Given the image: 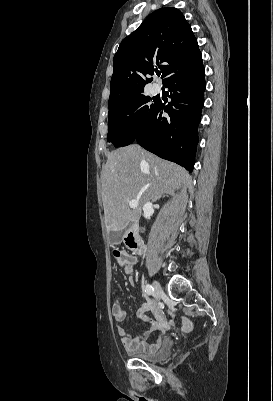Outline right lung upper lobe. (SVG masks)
<instances>
[{"label": "right lung upper lobe", "instance_id": "right-lung-upper-lobe-1", "mask_svg": "<svg viewBox=\"0 0 273 401\" xmlns=\"http://www.w3.org/2000/svg\"><path fill=\"white\" fill-rule=\"evenodd\" d=\"M201 58L184 15L176 8L158 9L121 42L113 59L108 107L143 93L154 66L159 65L164 83L176 68Z\"/></svg>", "mask_w": 273, "mask_h": 401}]
</instances>
